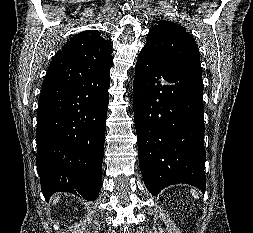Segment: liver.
<instances>
[{
    "label": "liver",
    "instance_id": "liver-1",
    "mask_svg": "<svg viewBox=\"0 0 253 233\" xmlns=\"http://www.w3.org/2000/svg\"><path fill=\"white\" fill-rule=\"evenodd\" d=\"M59 198H60L59 196L53 198V204H56L58 202Z\"/></svg>",
    "mask_w": 253,
    "mask_h": 233
}]
</instances>
